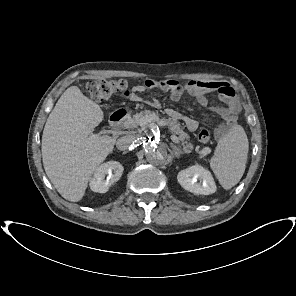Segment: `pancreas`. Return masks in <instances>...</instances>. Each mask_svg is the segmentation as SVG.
<instances>
[{
    "label": "pancreas",
    "mask_w": 296,
    "mask_h": 296,
    "mask_svg": "<svg viewBox=\"0 0 296 296\" xmlns=\"http://www.w3.org/2000/svg\"><path fill=\"white\" fill-rule=\"evenodd\" d=\"M145 116H155L157 118V122L160 125L167 126L169 131L173 135H178L179 140L182 142L183 149L186 153H190L193 149V145L188 142L189 135L185 133L177 120H173L171 118H160L158 112H153L149 110L141 111L140 113L135 114L133 117L128 116L124 122L123 126L129 130H139L140 120ZM200 156H204L202 151H199Z\"/></svg>",
    "instance_id": "1"
}]
</instances>
